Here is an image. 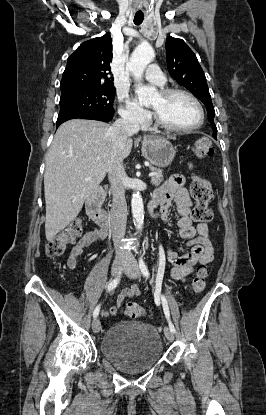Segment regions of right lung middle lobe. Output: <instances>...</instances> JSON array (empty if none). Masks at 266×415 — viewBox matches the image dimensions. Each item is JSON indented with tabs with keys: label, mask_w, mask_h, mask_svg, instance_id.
Returning a JSON list of instances; mask_svg holds the SVG:
<instances>
[{
	"label": "right lung middle lobe",
	"mask_w": 266,
	"mask_h": 415,
	"mask_svg": "<svg viewBox=\"0 0 266 415\" xmlns=\"http://www.w3.org/2000/svg\"><path fill=\"white\" fill-rule=\"evenodd\" d=\"M114 86L84 87L61 92L60 112L88 111L114 114Z\"/></svg>",
	"instance_id": "dd1d6c3e"
}]
</instances>
